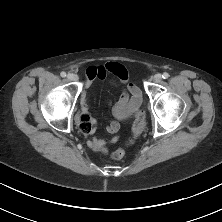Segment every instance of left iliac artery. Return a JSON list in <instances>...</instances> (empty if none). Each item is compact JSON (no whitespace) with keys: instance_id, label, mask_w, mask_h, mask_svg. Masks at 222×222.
<instances>
[{"instance_id":"obj_1","label":"left iliac artery","mask_w":222,"mask_h":222,"mask_svg":"<svg viewBox=\"0 0 222 222\" xmlns=\"http://www.w3.org/2000/svg\"><path fill=\"white\" fill-rule=\"evenodd\" d=\"M169 77V74L167 73V72H164L163 74H162V78L163 79H167Z\"/></svg>"}]
</instances>
